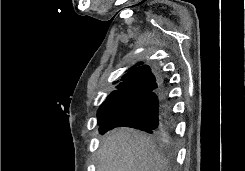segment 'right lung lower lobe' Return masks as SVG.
Masks as SVG:
<instances>
[{"mask_svg": "<svg viewBox=\"0 0 245 171\" xmlns=\"http://www.w3.org/2000/svg\"><path fill=\"white\" fill-rule=\"evenodd\" d=\"M119 126L140 129L166 143L171 142L174 118L164 81L156 91L120 101L106 115L99 132L103 134Z\"/></svg>", "mask_w": 245, "mask_h": 171, "instance_id": "right-lung-lower-lobe-1", "label": "right lung lower lobe"}]
</instances>
